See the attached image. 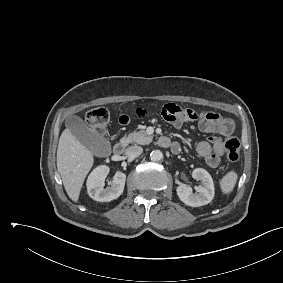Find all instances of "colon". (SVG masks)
<instances>
[{"instance_id":"colon-1","label":"colon","mask_w":283,"mask_h":283,"mask_svg":"<svg viewBox=\"0 0 283 283\" xmlns=\"http://www.w3.org/2000/svg\"><path fill=\"white\" fill-rule=\"evenodd\" d=\"M109 113L106 109L97 107L88 111L87 123L100 133L107 130L109 124ZM226 156L230 162H236L240 157V142L234 136H228L224 140Z\"/></svg>"}]
</instances>
